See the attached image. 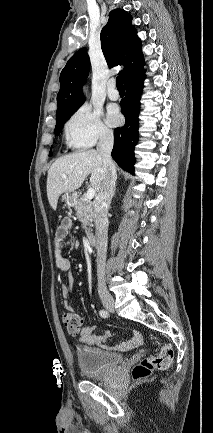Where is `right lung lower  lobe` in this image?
Instances as JSON below:
<instances>
[{"label":"right lung lower lobe","mask_w":213,"mask_h":433,"mask_svg":"<svg viewBox=\"0 0 213 433\" xmlns=\"http://www.w3.org/2000/svg\"><path fill=\"white\" fill-rule=\"evenodd\" d=\"M142 63L123 82L126 88L125 98L121 100V110L125 116L126 124L114 131V147L112 157L125 171L134 174V147L138 142V115L140 110V97L144 87L145 69Z\"/></svg>","instance_id":"obj_1"}]
</instances>
